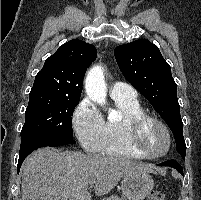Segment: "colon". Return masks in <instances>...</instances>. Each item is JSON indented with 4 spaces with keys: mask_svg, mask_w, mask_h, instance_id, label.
<instances>
[{
    "mask_svg": "<svg viewBox=\"0 0 201 200\" xmlns=\"http://www.w3.org/2000/svg\"><path fill=\"white\" fill-rule=\"evenodd\" d=\"M148 200H165V196L161 191H153L149 195Z\"/></svg>",
    "mask_w": 201,
    "mask_h": 200,
    "instance_id": "1",
    "label": "colon"
}]
</instances>
